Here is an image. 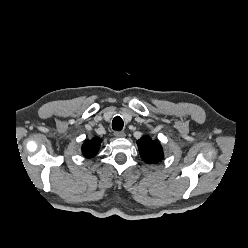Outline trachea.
<instances>
[{
  "label": "trachea",
  "instance_id": "trachea-1",
  "mask_svg": "<svg viewBox=\"0 0 248 248\" xmlns=\"http://www.w3.org/2000/svg\"><path fill=\"white\" fill-rule=\"evenodd\" d=\"M123 120L121 117L116 116L112 121V128L116 131H121L123 128Z\"/></svg>",
  "mask_w": 248,
  "mask_h": 248
}]
</instances>
